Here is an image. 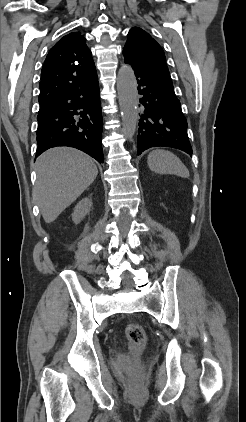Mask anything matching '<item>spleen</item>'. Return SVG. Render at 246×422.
Instances as JSON below:
<instances>
[{
  "instance_id": "obj_1",
  "label": "spleen",
  "mask_w": 246,
  "mask_h": 422,
  "mask_svg": "<svg viewBox=\"0 0 246 422\" xmlns=\"http://www.w3.org/2000/svg\"><path fill=\"white\" fill-rule=\"evenodd\" d=\"M151 171L159 174H174L183 178L189 177V171L182 161L172 152L156 149L147 158Z\"/></svg>"
}]
</instances>
